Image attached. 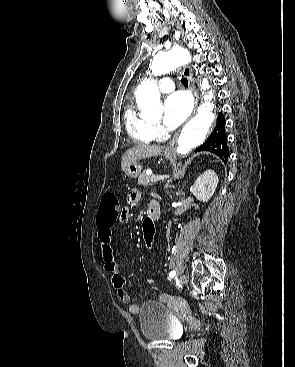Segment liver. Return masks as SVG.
<instances>
[{
  "instance_id": "1",
  "label": "liver",
  "mask_w": 295,
  "mask_h": 367,
  "mask_svg": "<svg viewBox=\"0 0 295 367\" xmlns=\"http://www.w3.org/2000/svg\"><path fill=\"white\" fill-rule=\"evenodd\" d=\"M163 150L162 146L141 144L129 148L122 156L121 167L125 171L126 167L137 160L157 157Z\"/></svg>"
}]
</instances>
